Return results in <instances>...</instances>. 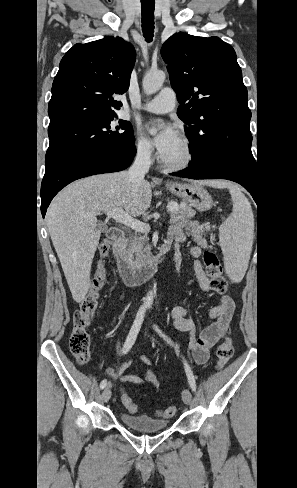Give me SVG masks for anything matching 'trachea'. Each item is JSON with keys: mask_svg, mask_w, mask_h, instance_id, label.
I'll return each mask as SVG.
<instances>
[{"mask_svg": "<svg viewBox=\"0 0 297 488\" xmlns=\"http://www.w3.org/2000/svg\"><path fill=\"white\" fill-rule=\"evenodd\" d=\"M154 2H141L142 31L147 42H151L154 33Z\"/></svg>", "mask_w": 297, "mask_h": 488, "instance_id": "3493384b", "label": "trachea"}]
</instances>
